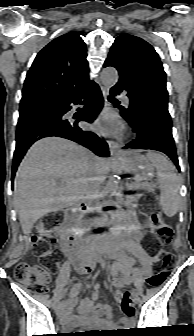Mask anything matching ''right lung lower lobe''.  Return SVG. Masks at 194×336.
Returning a JSON list of instances; mask_svg holds the SVG:
<instances>
[{"label": "right lung lower lobe", "mask_w": 194, "mask_h": 336, "mask_svg": "<svg viewBox=\"0 0 194 336\" xmlns=\"http://www.w3.org/2000/svg\"><path fill=\"white\" fill-rule=\"evenodd\" d=\"M78 104L86 105L87 111L77 120L66 118L65 114L70 111L72 105ZM102 107V93L98 85L89 80L50 105L42 106L30 113L20 114L13 157L12 185L17 167L26 151L35 141L43 137L66 138L89 148L100 157H108L107 143L95 133L85 131L78 126L80 120L91 123Z\"/></svg>", "instance_id": "right-lung-lower-lobe-1"}]
</instances>
